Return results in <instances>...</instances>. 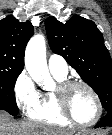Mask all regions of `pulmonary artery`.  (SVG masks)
Wrapping results in <instances>:
<instances>
[{
	"mask_svg": "<svg viewBox=\"0 0 112 135\" xmlns=\"http://www.w3.org/2000/svg\"><path fill=\"white\" fill-rule=\"evenodd\" d=\"M48 68L52 74L58 76H66L68 74V65L66 61L58 55L49 56Z\"/></svg>",
	"mask_w": 112,
	"mask_h": 135,
	"instance_id": "obj_1",
	"label": "pulmonary artery"
}]
</instances>
